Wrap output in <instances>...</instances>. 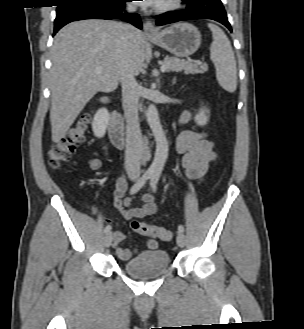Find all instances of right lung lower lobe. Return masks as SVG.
Listing matches in <instances>:
<instances>
[{"mask_svg": "<svg viewBox=\"0 0 304 329\" xmlns=\"http://www.w3.org/2000/svg\"><path fill=\"white\" fill-rule=\"evenodd\" d=\"M131 0H109L99 2H74L61 4L57 8L54 34L64 25L84 19H113L121 18L137 28H142L140 17L137 14H122L125 2Z\"/></svg>", "mask_w": 304, "mask_h": 329, "instance_id": "right-lung-lower-lobe-1", "label": "right lung lower lobe"}]
</instances>
